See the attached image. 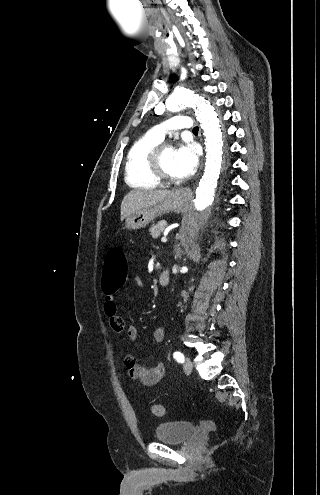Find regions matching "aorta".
<instances>
[{"instance_id": "1", "label": "aorta", "mask_w": 320, "mask_h": 495, "mask_svg": "<svg viewBox=\"0 0 320 495\" xmlns=\"http://www.w3.org/2000/svg\"><path fill=\"white\" fill-rule=\"evenodd\" d=\"M194 108L205 137V168L189 210L185 213L181 228L182 246L195 243L208 218L215 212L214 194L223 156V130L215 108L193 91L176 90L167 100L166 108L178 112Z\"/></svg>"}]
</instances>
